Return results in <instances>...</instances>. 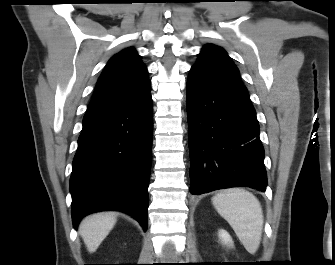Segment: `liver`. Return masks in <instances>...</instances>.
<instances>
[{"label":"liver","instance_id":"1","mask_svg":"<svg viewBox=\"0 0 335 265\" xmlns=\"http://www.w3.org/2000/svg\"><path fill=\"white\" fill-rule=\"evenodd\" d=\"M116 223V216L112 212H102L87 216L79 226V233L88 252L97 250L102 241L110 233Z\"/></svg>","mask_w":335,"mask_h":265}]
</instances>
